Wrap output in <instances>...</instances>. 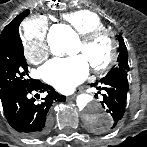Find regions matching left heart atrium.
I'll return each instance as SVG.
<instances>
[{
	"label": "left heart atrium",
	"mask_w": 147,
	"mask_h": 147,
	"mask_svg": "<svg viewBox=\"0 0 147 147\" xmlns=\"http://www.w3.org/2000/svg\"><path fill=\"white\" fill-rule=\"evenodd\" d=\"M89 73V63L83 55L54 58L41 69L42 78L60 91H70Z\"/></svg>",
	"instance_id": "39dd6f15"
}]
</instances>
